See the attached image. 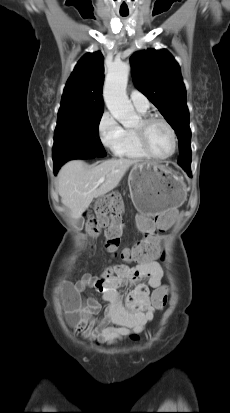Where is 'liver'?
<instances>
[{
	"instance_id": "6515ba94",
	"label": "liver",
	"mask_w": 230,
	"mask_h": 413,
	"mask_svg": "<svg viewBox=\"0 0 230 413\" xmlns=\"http://www.w3.org/2000/svg\"><path fill=\"white\" fill-rule=\"evenodd\" d=\"M138 160L111 159L97 166H88L81 160L67 162L58 173V193L61 202L70 210L73 219L81 218L94 198L113 190L127 170ZM105 181L98 184V180Z\"/></svg>"
}]
</instances>
